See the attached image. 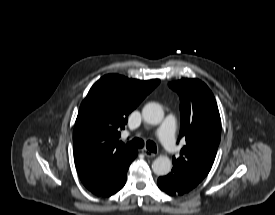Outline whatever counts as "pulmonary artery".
Returning a JSON list of instances; mask_svg holds the SVG:
<instances>
[{"label": "pulmonary artery", "instance_id": "obj_1", "mask_svg": "<svg viewBox=\"0 0 275 215\" xmlns=\"http://www.w3.org/2000/svg\"><path fill=\"white\" fill-rule=\"evenodd\" d=\"M175 128V119L172 116H168L156 132L157 137L168 154L175 153L177 149L174 138Z\"/></svg>", "mask_w": 275, "mask_h": 215}]
</instances>
